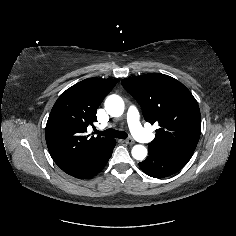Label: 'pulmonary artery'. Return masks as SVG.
<instances>
[{"mask_svg": "<svg viewBox=\"0 0 236 236\" xmlns=\"http://www.w3.org/2000/svg\"><path fill=\"white\" fill-rule=\"evenodd\" d=\"M127 120L132 134L140 142L148 143L151 142L154 138L153 134L146 131L141 123L140 116L137 108L135 106H130L127 110Z\"/></svg>", "mask_w": 236, "mask_h": 236, "instance_id": "pulmonary-artery-1", "label": "pulmonary artery"}]
</instances>
